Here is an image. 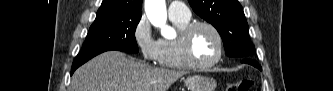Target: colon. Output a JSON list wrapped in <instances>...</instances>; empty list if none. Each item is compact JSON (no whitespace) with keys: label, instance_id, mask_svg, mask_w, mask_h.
<instances>
[{"label":"colon","instance_id":"colon-1","mask_svg":"<svg viewBox=\"0 0 333 91\" xmlns=\"http://www.w3.org/2000/svg\"><path fill=\"white\" fill-rule=\"evenodd\" d=\"M254 87V81L251 79H242L228 87V91H251Z\"/></svg>","mask_w":333,"mask_h":91}]
</instances>
